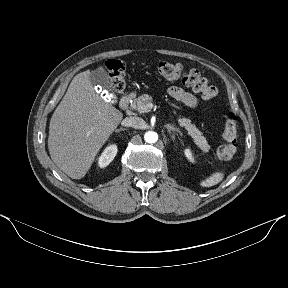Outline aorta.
I'll use <instances>...</instances> for the list:
<instances>
[{
	"mask_svg": "<svg viewBox=\"0 0 288 288\" xmlns=\"http://www.w3.org/2000/svg\"><path fill=\"white\" fill-rule=\"evenodd\" d=\"M144 139L147 143H155L158 140V135L156 132L148 131L145 133Z\"/></svg>",
	"mask_w": 288,
	"mask_h": 288,
	"instance_id": "obj_1",
	"label": "aorta"
}]
</instances>
